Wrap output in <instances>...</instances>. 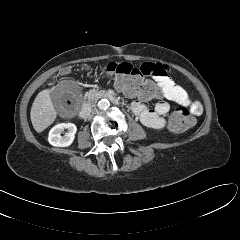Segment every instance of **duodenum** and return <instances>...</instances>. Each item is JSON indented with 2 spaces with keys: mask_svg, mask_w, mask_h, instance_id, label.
I'll return each instance as SVG.
<instances>
[{
  "mask_svg": "<svg viewBox=\"0 0 240 240\" xmlns=\"http://www.w3.org/2000/svg\"><path fill=\"white\" fill-rule=\"evenodd\" d=\"M97 99H108L114 103H117L118 100L116 96L110 92L100 91L89 93L85 99V102L80 110V117L84 118L89 114L90 108L95 100Z\"/></svg>",
  "mask_w": 240,
  "mask_h": 240,
  "instance_id": "duodenum-1",
  "label": "duodenum"
}]
</instances>
